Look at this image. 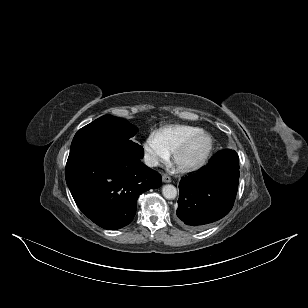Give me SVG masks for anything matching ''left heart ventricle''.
<instances>
[{
  "instance_id": "1",
  "label": "left heart ventricle",
  "mask_w": 308,
  "mask_h": 308,
  "mask_svg": "<svg viewBox=\"0 0 308 308\" xmlns=\"http://www.w3.org/2000/svg\"><path fill=\"white\" fill-rule=\"evenodd\" d=\"M209 144L207 137L198 138L183 156V160L191 162L199 159L206 151Z\"/></svg>"
}]
</instances>
